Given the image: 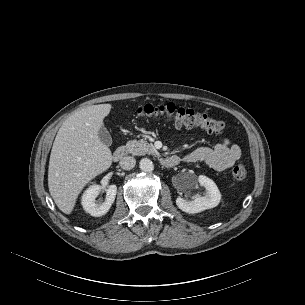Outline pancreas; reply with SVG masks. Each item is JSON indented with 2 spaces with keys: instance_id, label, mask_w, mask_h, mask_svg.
Returning <instances> with one entry per match:
<instances>
[{
  "instance_id": "1",
  "label": "pancreas",
  "mask_w": 305,
  "mask_h": 305,
  "mask_svg": "<svg viewBox=\"0 0 305 305\" xmlns=\"http://www.w3.org/2000/svg\"><path fill=\"white\" fill-rule=\"evenodd\" d=\"M125 150L132 155H154L157 153L152 144L145 140H131L126 143Z\"/></svg>"
}]
</instances>
